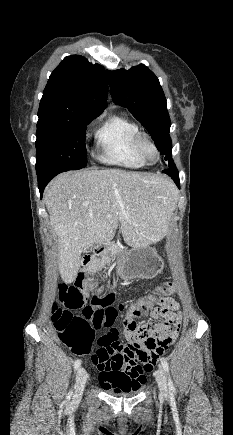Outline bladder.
Here are the masks:
<instances>
[{
	"label": "bladder",
	"instance_id": "1",
	"mask_svg": "<svg viewBox=\"0 0 233 435\" xmlns=\"http://www.w3.org/2000/svg\"><path fill=\"white\" fill-rule=\"evenodd\" d=\"M144 387V383L133 384V388L126 392H114L112 390H105V393L114 397H134L138 395Z\"/></svg>",
	"mask_w": 233,
	"mask_h": 435
}]
</instances>
